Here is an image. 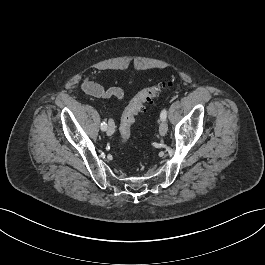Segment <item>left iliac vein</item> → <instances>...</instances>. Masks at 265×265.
Listing matches in <instances>:
<instances>
[{
  "mask_svg": "<svg viewBox=\"0 0 265 265\" xmlns=\"http://www.w3.org/2000/svg\"><path fill=\"white\" fill-rule=\"evenodd\" d=\"M168 131V124L165 120H162L159 126V133L161 136H165Z\"/></svg>",
  "mask_w": 265,
  "mask_h": 265,
  "instance_id": "obj_1",
  "label": "left iliac vein"
}]
</instances>
